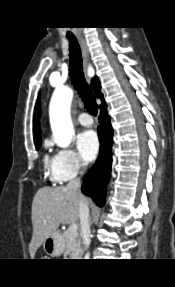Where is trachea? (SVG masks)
Masks as SVG:
<instances>
[{
  "instance_id": "3493384b",
  "label": "trachea",
  "mask_w": 175,
  "mask_h": 287,
  "mask_svg": "<svg viewBox=\"0 0 175 287\" xmlns=\"http://www.w3.org/2000/svg\"><path fill=\"white\" fill-rule=\"evenodd\" d=\"M69 40V75L71 82L82 99L85 108L94 116L97 115L98 105L91 88L87 84L83 73L81 49L74 36H67Z\"/></svg>"
}]
</instances>
